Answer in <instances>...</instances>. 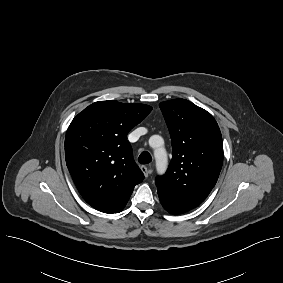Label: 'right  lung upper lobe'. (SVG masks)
I'll return each mask as SVG.
<instances>
[{
    "label": "right lung upper lobe",
    "mask_w": 283,
    "mask_h": 283,
    "mask_svg": "<svg viewBox=\"0 0 283 283\" xmlns=\"http://www.w3.org/2000/svg\"><path fill=\"white\" fill-rule=\"evenodd\" d=\"M152 108L144 104L99 101L68 127L65 159L84 200L96 210L118 213L144 175L133 160L128 132Z\"/></svg>",
    "instance_id": "cb5924a9"
}]
</instances>
